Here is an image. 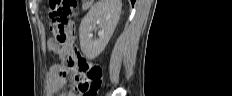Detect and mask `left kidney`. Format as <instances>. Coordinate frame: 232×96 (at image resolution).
Here are the masks:
<instances>
[{"instance_id":"5707ae66","label":"left kidney","mask_w":232,"mask_h":96,"mask_svg":"<svg viewBox=\"0 0 232 96\" xmlns=\"http://www.w3.org/2000/svg\"><path fill=\"white\" fill-rule=\"evenodd\" d=\"M121 0H100L82 19L79 28L80 47L86 58H96L108 44L121 14ZM98 30L93 39L92 31Z\"/></svg>"}]
</instances>
